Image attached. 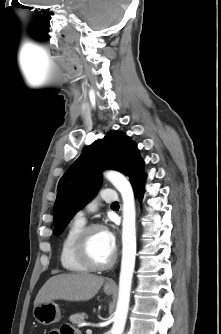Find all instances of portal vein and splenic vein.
<instances>
[{"mask_svg": "<svg viewBox=\"0 0 221 334\" xmlns=\"http://www.w3.org/2000/svg\"><path fill=\"white\" fill-rule=\"evenodd\" d=\"M86 333H87V334H92V330H91V329H87V330H86Z\"/></svg>", "mask_w": 221, "mask_h": 334, "instance_id": "portal-vein-and-splenic-vein-1", "label": "portal vein and splenic vein"}]
</instances>
